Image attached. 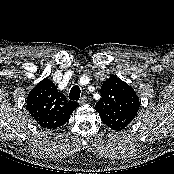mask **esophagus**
<instances>
[{"mask_svg":"<svg viewBox=\"0 0 174 174\" xmlns=\"http://www.w3.org/2000/svg\"><path fill=\"white\" fill-rule=\"evenodd\" d=\"M86 102H87V97L86 96L81 97L80 100H79L80 104H83V103H86Z\"/></svg>","mask_w":174,"mask_h":174,"instance_id":"1","label":"esophagus"}]
</instances>
